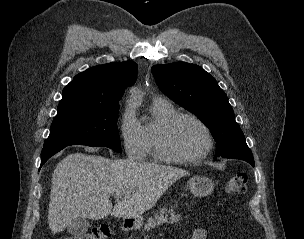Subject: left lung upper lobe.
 Here are the masks:
<instances>
[{
	"instance_id": "obj_1",
	"label": "left lung upper lobe",
	"mask_w": 304,
	"mask_h": 239,
	"mask_svg": "<svg viewBox=\"0 0 304 239\" xmlns=\"http://www.w3.org/2000/svg\"><path fill=\"white\" fill-rule=\"evenodd\" d=\"M152 73L165 95L197 115L211 130L217 142L216 156L254 161L227 95L209 73L186 62L155 65Z\"/></svg>"
}]
</instances>
